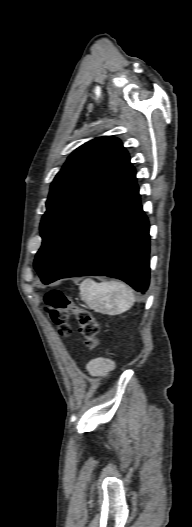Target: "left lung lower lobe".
Here are the masks:
<instances>
[{"instance_id": "0a47b994", "label": "left lung lower lobe", "mask_w": 192, "mask_h": 527, "mask_svg": "<svg viewBox=\"0 0 192 527\" xmlns=\"http://www.w3.org/2000/svg\"><path fill=\"white\" fill-rule=\"evenodd\" d=\"M149 245V222L132 167L91 212L41 281L105 275L145 292Z\"/></svg>"}]
</instances>
